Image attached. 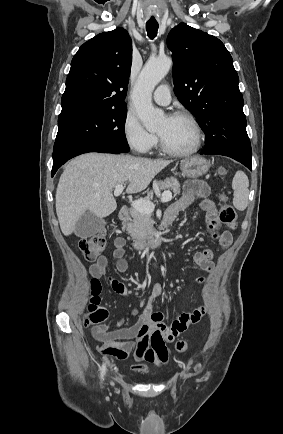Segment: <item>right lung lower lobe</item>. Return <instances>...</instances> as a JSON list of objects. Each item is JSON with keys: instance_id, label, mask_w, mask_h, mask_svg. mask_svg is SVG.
<instances>
[{"instance_id": "obj_1", "label": "right lung lower lobe", "mask_w": 283, "mask_h": 434, "mask_svg": "<svg viewBox=\"0 0 283 434\" xmlns=\"http://www.w3.org/2000/svg\"><path fill=\"white\" fill-rule=\"evenodd\" d=\"M88 152H101V153H113V154H119L122 153V151L109 147V146H105V145H92V146H86V147H81L79 149H76L74 151H72L71 153H69L68 155H66L65 157L61 158L58 161H55L53 164V168H52V173L51 176H54V174L56 173V171L64 164L66 163L69 159L78 156L80 154L83 153H88Z\"/></svg>"}]
</instances>
